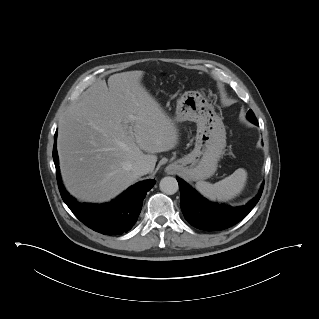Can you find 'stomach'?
<instances>
[{"mask_svg":"<svg viewBox=\"0 0 319 319\" xmlns=\"http://www.w3.org/2000/svg\"><path fill=\"white\" fill-rule=\"evenodd\" d=\"M214 107L198 91H187L177 101L175 121L197 124L194 149L168 166L190 181L214 175L226 147V130Z\"/></svg>","mask_w":319,"mask_h":319,"instance_id":"obj_1","label":"stomach"}]
</instances>
